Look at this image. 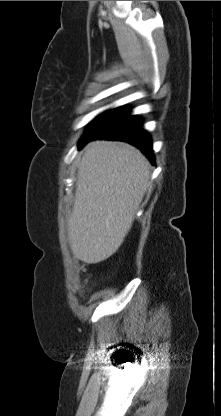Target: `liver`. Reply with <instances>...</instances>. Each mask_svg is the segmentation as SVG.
Here are the masks:
<instances>
[{
    "instance_id": "1",
    "label": "liver",
    "mask_w": 221,
    "mask_h": 416,
    "mask_svg": "<svg viewBox=\"0 0 221 416\" xmlns=\"http://www.w3.org/2000/svg\"><path fill=\"white\" fill-rule=\"evenodd\" d=\"M149 185L150 163L134 146L89 143L79 162L67 224L74 256L96 264L113 255L131 229Z\"/></svg>"
}]
</instances>
